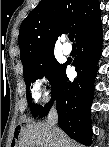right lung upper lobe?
<instances>
[{"mask_svg":"<svg viewBox=\"0 0 109 147\" xmlns=\"http://www.w3.org/2000/svg\"><path fill=\"white\" fill-rule=\"evenodd\" d=\"M100 14L98 0H41L20 26L24 68L52 53L61 34L69 31L77 38Z\"/></svg>","mask_w":109,"mask_h":147,"instance_id":"obj_1","label":"right lung upper lobe"}]
</instances>
